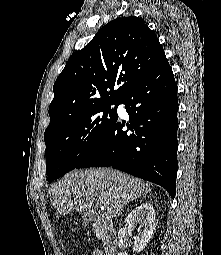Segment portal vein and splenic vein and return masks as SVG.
<instances>
[{"instance_id": "1", "label": "portal vein and splenic vein", "mask_w": 221, "mask_h": 255, "mask_svg": "<svg viewBox=\"0 0 221 255\" xmlns=\"http://www.w3.org/2000/svg\"><path fill=\"white\" fill-rule=\"evenodd\" d=\"M100 207H101V209H105V207L102 204L100 205Z\"/></svg>"}]
</instances>
